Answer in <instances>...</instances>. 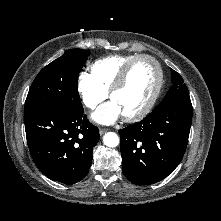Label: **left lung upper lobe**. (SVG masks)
I'll return each mask as SVG.
<instances>
[{
    "label": "left lung upper lobe",
    "mask_w": 221,
    "mask_h": 221,
    "mask_svg": "<svg viewBox=\"0 0 221 221\" xmlns=\"http://www.w3.org/2000/svg\"><path fill=\"white\" fill-rule=\"evenodd\" d=\"M171 81L173 86L169 89L168 93H175V96H179L182 93L188 92L187 86L184 83L183 78L179 73L171 69Z\"/></svg>",
    "instance_id": "obj_1"
}]
</instances>
